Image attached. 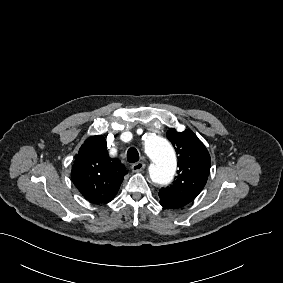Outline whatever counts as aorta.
Returning <instances> with one entry per match:
<instances>
[{"label": "aorta", "mask_w": 283, "mask_h": 283, "mask_svg": "<svg viewBox=\"0 0 283 283\" xmlns=\"http://www.w3.org/2000/svg\"><path fill=\"white\" fill-rule=\"evenodd\" d=\"M145 152L151 159L150 177L157 184H168L176 172V155L170 142L160 136L151 135L145 142Z\"/></svg>", "instance_id": "762f6f07"}]
</instances>
